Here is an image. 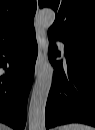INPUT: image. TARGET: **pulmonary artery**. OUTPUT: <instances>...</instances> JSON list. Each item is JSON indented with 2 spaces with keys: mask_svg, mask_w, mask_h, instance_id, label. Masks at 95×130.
Returning a JSON list of instances; mask_svg holds the SVG:
<instances>
[{
  "mask_svg": "<svg viewBox=\"0 0 95 130\" xmlns=\"http://www.w3.org/2000/svg\"><path fill=\"white\" fill-rule=\"evenodd\" d=\"M58 45H59L60 49L63 50V48H64L63 43L59 42Z\"/></svg>",
  "mask_w": 95,
  "mask_h": 130,
  "instance_id": "pulmonary-artery-1",
  "label": "pulmonary artery"
}]
</instances>
